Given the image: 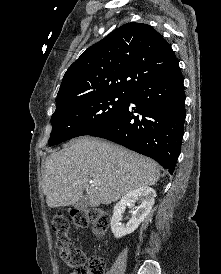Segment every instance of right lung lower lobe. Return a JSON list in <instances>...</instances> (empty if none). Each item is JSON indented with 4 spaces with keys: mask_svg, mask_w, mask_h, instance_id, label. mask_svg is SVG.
Returning a JSON list of instances; mask_svg holds the SVG:
<instances>
[{
    "mask_svg": "<svg viewBox=\"0 0 221 274\" xmlns=\"http://www.w3.org/2000/svg\"><path fill=\"white\" fill-rule=\"evenodd\" d=\"M135 104L131 107L130 103ZM185 93L177 62L135 89L107 124L90 133L153 158L173 174L184 133Z\"/></svg>",
    "mask_w": 221,
    "mask_h": 274,
    "instance_id": "1",
    "label": "right lung lower lobe"
}]
</instances>
